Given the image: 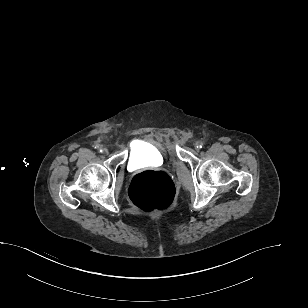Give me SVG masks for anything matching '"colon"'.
<instances>
[{"instance_id": "obj_1", "label": "colon", "mask_w": 308, "mask_h": 308, "mask_svg": "<svg viewBox=\"0 0 308 308\" xmlns=\"http://www.w3.org/2000/svg\"><path fill=\"white\" fill-rule=\"evenodd\" d=\"M175 195L174 184L164 172L146 171L136 175L129 187V198L145 212L167 209Z\"/></svg>"}]
</instances>
